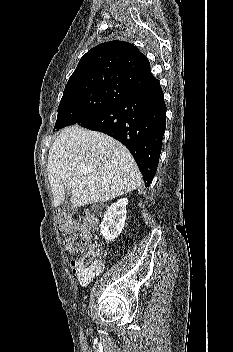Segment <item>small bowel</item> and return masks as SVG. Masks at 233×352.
Segmentation results:
<instances>
[{
    "label": "small bowel",
    "instance_id": "c3829d8e",
    "mask_svg": "<svg viewBox=\"0 0 233 352\" xmlns=\"http://www.w3.org/2000/svg\"><path fill=\"white\" fill-rule=\"evenodd\" d=\"M72 264H73V261L71 262V265ZM89 281H90V279L89 280H85V281L80 280V283H81V285H87L89 283Z\"/></svg>",
    "mask_w": 233,
    "mask_h": 352
}]
</instances>
